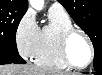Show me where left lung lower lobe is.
Masks as SVG:
<instances>
[{"instance_id":"left-lung-lower-lobe-1","label":"left lung lower lobe","mask_w":102,"mask_h":75,"mask_svg":"<svg viewBox=\"0 0 102 75\" xmlns=\"http://www.w3.org/2000/svg\"><path fill=\"white\" fill-rule=\"evenodd\" d=\"M94 75H101L102 74V71H96V72H93Z\"/></svg>"}]
</instances>
